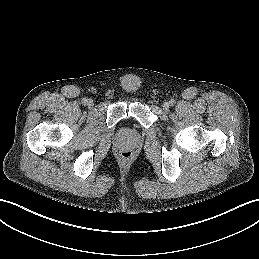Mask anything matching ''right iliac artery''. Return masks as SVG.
<instances>
[{
	"instance_id": "obj_1",
	"label": "right iliac artery",
	"mask_w": 259,
	"mask_h": 259,
	"mask_svg": "<svg viewBox=\"0 0 259 259\" xmlns=\"http://www.w3.org/2000/svg\"><path fill=\"white\" fill-rule=\"evenodd\" d=\"M87 102H88V99H87V98H83V99H82V103H83L84 105H86Z\"/></svg>"
}]
</instances>
